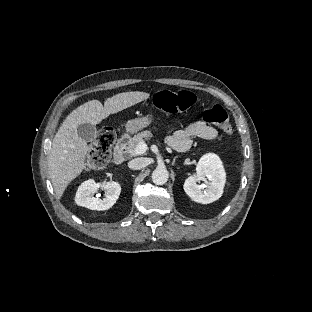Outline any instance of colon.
<instances>
[{"instance_id":"1","label":"colon","mask_w":312,"mask_h":312,"mask_svg":"<svg viewBox=\"0 0 312 312\" xmlns=\"http://www.w3.org/2000/svg\"><path fill=\"white\" fill-rule=\"evenodd\" d=\"M194 101V95L190 91L177 93L160 91L156 95L155 105L163 112L180 114L191 107ZM202 117L207 124L220 128L227 136L233 135V127L223 107L216 105L209 108L203 112ZM115 139L116 134L113 129L107 126L101 127L96 134L94 146L87 156L89 164L95 167L106 165L110 160Z\"/></svg>"}]
</instances>
